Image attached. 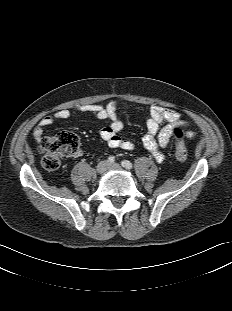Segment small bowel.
I'll return each mask as SVG.
<instances>
[{
  "label": "small bowel",
  "mask_w": 232,
  "mask_h": 311,
  "mask_svg": "<svg viewBox=\"0 0 232 311\" xmlns=\"http://www.w3.org/2000/svg\"><path fill=\"white\" fill-rule=\"evenodd\" d=\"M82 114L111 121L109 125L104 126L100 131L102 139L109 147L125 150L134 149L135 144L133 141L122 138L119 135L123 129V121L119 114V103L114 100L105 105L91 103L79 105L73 109H59L51 115L44 116L38 122L33 130V137L36 141L40 142L45 137V128L52 125L56 120H64ZM184 125L185 122L182 120L179 112L153 105L150 107L149 118L146 122V132L142 137V144L156 161L162 162L164 160L162 149L170 144L173 129ZM186 137L192 138L194 137V133L188 131ZM80 154L81 152L78 153V155Z\"/></svg>",
  "instance_id": "1"
}]
</instances>
